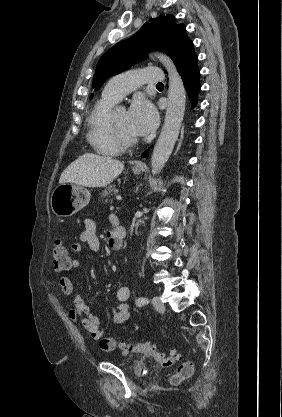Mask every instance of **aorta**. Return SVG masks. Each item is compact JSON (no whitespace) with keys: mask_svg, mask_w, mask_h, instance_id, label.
I'll use <instances>...</instances> for the list:
<instances>
[{"mask_svg":"<svg viewBox=\"0 0 282 417\" xmlns=\"http://www.w3.org/2000/svg\"><path fill=\"white\" fill-rule=\"evenodd\" d=\"M152 56H157L158 60L162 62L169 78L165 120L151 158L152 174H159L160 170L165 166V162H167L178 138L185 112L186 90L183 80L170 56H167L164 52H152Z\"/></svg>","mask_w":282,"mask_h":417,"instance_id":"aorta-1","label":"aorta"}]
</instances>
